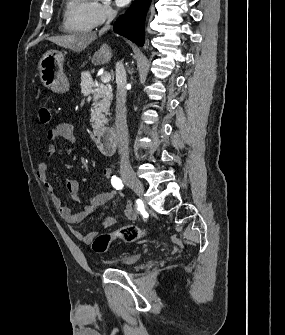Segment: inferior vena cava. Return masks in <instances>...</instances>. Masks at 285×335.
<instances>
[{"mask_svg": "<svg viewBox=\"0 0 285 335\" xmlns=\"http://www.w3.org/2000/svg\"><path fill=\"white\" fill-rule=\"evenodd\" d=\"M116 10H113L111 6H107V22L100 30L101 34L110 30L111 22L116 18ZM116 84H117V94H116V136L119 144V152L122 156V160L129 162V136H128V126H127V106H126V74L123 68L122 62H117L116 64Z\"/></svg>", "mask_w": 285, "mask_h": 335, "instance_id": "inferior-vena-cava-1", "label": "inferior vena cava"}]
</instances>
